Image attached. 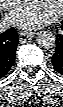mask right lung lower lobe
Segmentation results:
<instances>
[{
  "instance_id": "right-lung-lower-lobe-1",
  "label": "right lung lower lobe",
  "mask_w": 63,
  "mask_h": 107,
  "mask_svg": "<svg viewBox=\"0 0 63 107\" xmlns=\"http://www.w3.org/2000/svg\"><path fill=\"white\" fill-rule=\"evenodd\" d=\"M19 42L14 28L0 34V78L8 73L16 58V47Z\"/></svg>"
}]
</instances>
